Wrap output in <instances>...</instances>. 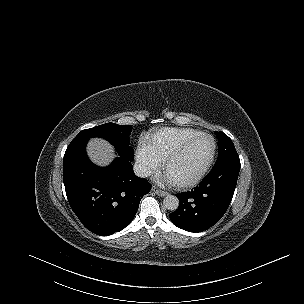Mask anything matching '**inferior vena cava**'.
Instances as JSON below:
<instances>
[{"label":"inferior vena cava","mask_w":304,"mask_h":304,"mask_svg":"<svg viewBox=\"0 0 304 304\" xmlns=\"http://www.w3.org/2000/svg\"><path fill=\"white\" fill-rule=\"evenodd\" d=\"M136 176L145 178L151 175V170L143 163L136 162L133 166Z\"/></svg>","instance_id":"1"}]
</instances>
